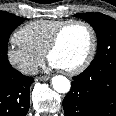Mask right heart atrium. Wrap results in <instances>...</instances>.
<instances>
[{"label": "right heart atrium", "mask_w": 116, "mask_h": 116, "mask_svg": "<svg viewBox=\"0 0 116 116\" xmlns=\"http://www.w3.org/2000/svg\"><path fill=\"white\" fill-rule=\"evenodd\" d=\"M9 65L24 75H33L43 62V54L36 53L21 43L16 35L6 49Z\"/></svg>", "instance_id": "obj_1"}]
</instances>
